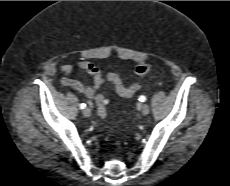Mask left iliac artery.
Listing matches in <instances>:
<instances>
[{
  "instance_id": "left-iliac-artery-1",
  "label": "left iliac artery",
  "mask_w": 230,
  "mask_h": 186,
  "mask_svg": "<svg viewBox=\"0 0 230 186\" xmlns=\"http://www.w3.org/2000/svg\"><path fill=\"white\" fill-rule=\"evenodd\" d=\"M139 101H141V102L146 101V97H145V96H140V97H139Z\"/></svg>"
}]
</instances>
